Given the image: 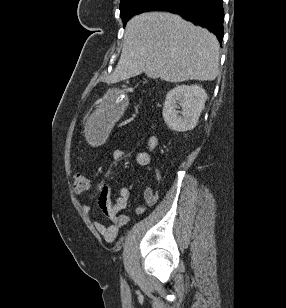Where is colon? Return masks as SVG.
Wrapping results in <instances>:
<instances>
[{"label":"colon","instance_id":"colon-1","mask_svg":"<svg viewBox=\"0 0 286 308\" xmlns=\"http://www.w3.org/2000/svg\"><path fill=\"white\" fill-rule=\"evenodd\" d=\"M91 186L89 178L84 175L77 173L73 177V190L76 193H82L87 191Z\"/></svg>","mask_w":286,"mask_h":308}]
</instances>
